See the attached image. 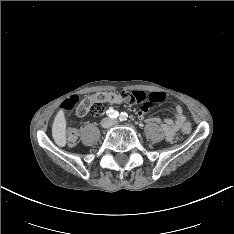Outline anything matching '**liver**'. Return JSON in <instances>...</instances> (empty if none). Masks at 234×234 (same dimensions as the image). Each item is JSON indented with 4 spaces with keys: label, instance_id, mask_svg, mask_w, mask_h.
<instances>
[{
    "label": "liver",
    "instance_id": "liver-1",
    "mask_svg": "<svg viewBox=\"0 0 234 234\" xmlns=\"http://www.w3.org/2000/svg\"><path fill=\"white\" fill-rule=\"evenodd\" d=\"M52 136L58 146L64 147L66 145V119L63 110H60L54 119Z\"/></svg>",
    "mask_w": 234,
    "mask_h": 234
}]
</instances>
